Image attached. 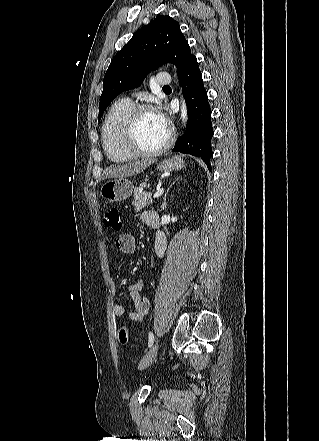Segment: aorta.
<instances>
[{
	"mask_svg": "<svg viewBox=\"0 0 319 441\" xmlns=\"http://www.w3.org/2000/svg\"><path fill=\"white\" fill-rule=\"evenodd\" d=\"M181 118H182V122H184V124H186L187 119H188V114H187V106L184 100H182L181 103Z\"/></svg>",
	"mask_w": 319,
	"mask_h": 441,
	"instance_id": "762f6f07",
	"label": "aorta"
}]
</instances>
